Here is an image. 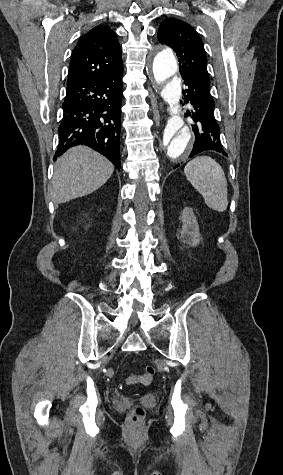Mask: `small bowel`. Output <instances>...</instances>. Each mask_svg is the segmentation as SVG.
<instances>
[{
    "label": "small bowel",
    "mask_w": 283,
    "mask_h": 475,
    "mask_svg": "<svg viewBox=\"0 0 283 475\" xmlns=\"http://www.w3.org/2000/svg\"><path fill=\"white\" fill-rule=\"evenodd\" d=\"M128 377H129V378H133V377H134V378H137V377H138V374H137V373H134V374H133V373H129V374H128ZM139 382L144 383V382H142L141 380H139ZM144 384H147V383H144Z\"/></svg>",
    "instance_id": "obj_1"
}]
</instances>
